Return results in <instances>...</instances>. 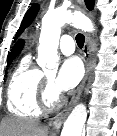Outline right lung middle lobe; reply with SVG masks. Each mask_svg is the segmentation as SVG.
<instances>
[{"instance_id": "1", "label": "right lung middle lobe", "mask_w": 117, "mask_h": 136, "mask_svg": "<svg viewBox=\"0 0 117 136\" xmlns=\"http://www.w3.org/2000/svg\"><path fill=\"white\" fill-rule=\"evenodd\" d=\"M12 60L13 59H10V60L7 61V66H9L11 64Z\"/></svg>"}]
</instances>
